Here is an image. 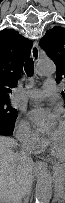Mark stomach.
<instances>
[{"instance_id": "0dacf381", "label": "stomach", "mask_w": 65, "mask_h": 203, "mask_svg": "<svg viewBox=\"0 0 65 203\" xmlns=\"http://www.w3.org/2000/svg\"><path fill=\"white\" fill-rule=\"evenodd\" d=\"M56 177V194L63 202L65 199V166L54 167Z\"/></svg>"}]
</instances>
